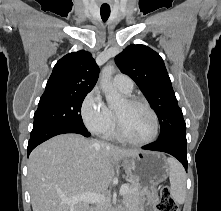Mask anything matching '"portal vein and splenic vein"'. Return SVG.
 Instances as JSON below:
<instances>
[{
    "mask_svg": "<svg viewBox=\"0 0 221 211\" xmlns=\"http://www.w3.org/2000/svg\"><path fill=\"white\" fill-rule=\"evenodd\" d=\"M128 190L126 184H123L119 190L121 196H124ZM64 203L69 205L76 204L78 202H86L91 204H104L106 202V197L103 194H96V193H84L81 195H76L69 198H62Z\"/></svg>",
    "mask_w": 221,
    "mask_h": 211,
    "instance_id": "obj_1",
    "label": "portal vein and splenic vein"
}]
</instances>
